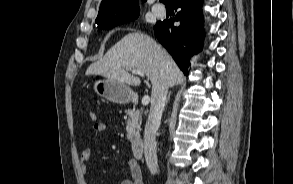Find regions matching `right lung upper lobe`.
<instances>
[{"mask_svg": "<svg viewBox=\"0 0 293 184\" xmlns=\"http://www.w3.org/2000/svg\"><path fill=\"white\" fill-rule=\"evenodd\" d=\"M137 13L139 0H102L96 23L101 26Z\"/></svg>", "mask_w": 293, "mask_h": 184, "instance_id": "cb5924a9", "label": "right lung upper lobe"}]
</instances>
